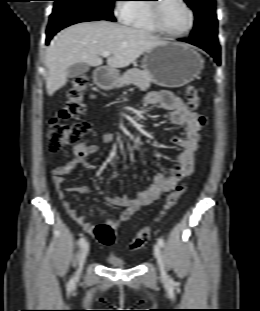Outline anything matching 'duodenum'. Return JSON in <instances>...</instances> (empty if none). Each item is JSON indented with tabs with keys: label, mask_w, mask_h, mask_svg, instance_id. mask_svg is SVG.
Returning <instances> with one entry per match:
<instances>
[{
	"label": "duodenum",
	"mask_w": 260,
	"mask_h": 311,
	"mask_svg": "<svg viewBox=\"0 0 260 311\" xmlns=\"http://www.w3.org/2000/svg\"><path fill=\"white\" fill-rule=\"evenodd\" d=\"M107 74H108V70L106 68H104V67L99 68L95 74V78L99 83L103 84L104 79L107 76Z\"/></svg>",
	"instance_id": "1"
}]
</instances>
